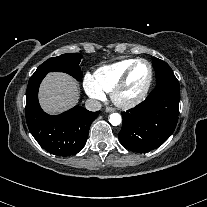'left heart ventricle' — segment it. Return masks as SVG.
I'll return each mask as SVG.
<instances>
[{"label": "left heart ventricle", "mask_w": 207, "mask_h": 207, "mask_svg": "<svg viewBox=\"0 0 207 207\" xmlns=\"http://www.w3.org/2000/svg\"><path fill=\"white\" fill-rule=\"evenodd\" d=\"M149 76V69L145 63H139L133 69L126 86L120 92L122 100H130L136 97L144 88Z\"/></svg>", "instance_id": "left-heart-ventricle-1"}]
</instances>
